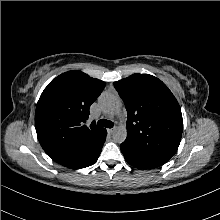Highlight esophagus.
<instances>
[{
	"mask_svg": "<svg viewBox=\"0 0 220 220\" xmlns=\"http://www.w3.org/2000/svg\"><path fill=\"white\" fill-rule=\"evenodd\" d=\"M114 130H115V128H111V129H108V133H113L114 132Z\"/></svg>",
	"mask_w": 220,
	"mask_h": 220,
	"instance_id": "esophagus-1",
	"label": "esophagus"
}]
</instances>
